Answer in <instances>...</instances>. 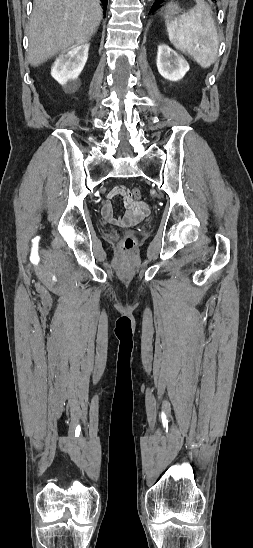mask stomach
<instances>
[{
  "instance_id": "obj_1",
  "label": "stomach",
  "mask_w": 253,
  "mask_h": 548,
  "mask_svg": "<svg viewBox=\"0 0 253 548\" xmlns=\"http://www.w3.org/2000/svg\"><path fill=\"white\" fill-rule=\"evenodd\" d=\"M179 10H180V9H179V7H178L176 4L171 3V4H169V5H167V6L165 7V9H164V17H165L166 19H171V18L174 17V15H175L176 13L179 12Z\"/></svg>"
}]
</instances>
